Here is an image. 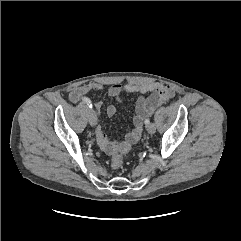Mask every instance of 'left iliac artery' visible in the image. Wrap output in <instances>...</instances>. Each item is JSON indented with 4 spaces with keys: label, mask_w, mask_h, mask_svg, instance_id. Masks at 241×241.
<instances>
[{
    "label": "left iliac artery",
    "mask_w": 241,
    "mask_h": 241,
    "mask_svg": "<svg viewBox=\"0 0 241 241\" xmlns=\"http://www.w3.org/2000/svg\"><path fill=\"white\" fill-rule=\"evenodd\" d=\"M149 123H150L149 119H146L145 124H149Z\"/></svg>",
    "instance_id": "obj_1"
}]
</instances>
